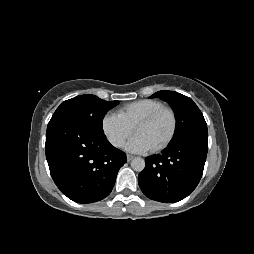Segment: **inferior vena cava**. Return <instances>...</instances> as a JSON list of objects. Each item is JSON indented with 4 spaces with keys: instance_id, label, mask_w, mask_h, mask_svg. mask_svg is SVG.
I'll return each mask as SVG.
<instances>
[{
    "instance_id": "1",
    "label": "inferior vena cava",
    "mask_w": 254,
    "mask_h": 254,
    "mask_svg": "<svg viewBox=\"0 0 254 254\" xmlns=\"http://www.w3.org/2000/svg\"><path fill=\"white\" fill-rule=\"evenodd\" d=\"M118 146H122V142H119V143H118Z\"/></svg>"
}]
</instances>
